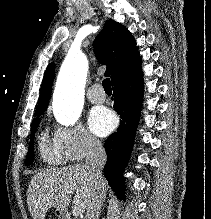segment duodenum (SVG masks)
I'll use <instances>...</instances> for the list:
<instances>
[{"instance_id":"1","label":"duodenum","mask_w":211,"mask_h":219,"mask_svg":"<svg viewBox=\"0 0 211 219\" xmlns=\"http://www.w3.org/2000/svg\"><path fill=\"white\" fill-rule=\"evenodd\" d=\"M58 215L60 219H72L70 213L65 209H59Z\"/></svg>"}]
</instances>
